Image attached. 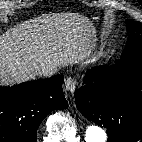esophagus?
Instances as JSON below:
<instances>
[{
    "instance_id": "obj_1",
    "label": "esophagus",
    "mask_w": 142,
    "mask_h": 142,
    "mask_svg": "<svg viewBox=\"0 0 142 142\" xmlns=\"http://www.w3.org/2000/svg\"><path fill=\"white\" fill-rule=\"evenodd\" d=\"M64 86H65L67 91L73 93L75 91V89H76V80L74 78H72V77H67L65 79Z\"/></svg>"
}]
</instances>
